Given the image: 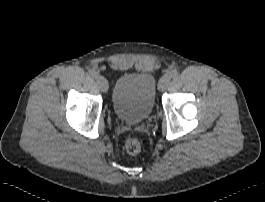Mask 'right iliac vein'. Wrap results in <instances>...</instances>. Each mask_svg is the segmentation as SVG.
Returning a JSON list of instances; mask_svg holds the SVG:
<instances>
[{
    "instance_id": "1",
    "label": "right iliac vein",
    "mask_w": 265,
    "mask_h": 202,
    "mask_svg": "<svg viewBox=\"0 0 265 202\" xmlns=\"http://www.w3.org/2000/svg\"><path fill=\"white\" fill-rule=\"evenodd\" d=\"M96 82H97V85L99 86V88L102 90V91H107L108 90V82L107 80L101 76V75H98L96 77Z\"/></svg>"
}]
</instances>
